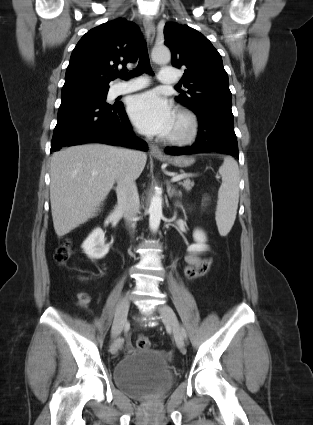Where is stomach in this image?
I'll list each match as a JSON object with an SVG mask.
<instances>
[{"instance_id": "stomach-1", "label": "stomach", "mask_w": 313, "mask_h": 425, "mask_svg": "<svg viewBox=\"0 0 313 425\" xmlns=\"http://www.w3.org/2000/svg\"><path fill=\"white\" fill-rule=\"evenodd\" d=\"M163 161H167L169 163H171L174 166L177 167H188L190 165H192L194 163V159L190 158V157H185V156H179V157H170V158H166V159H161Z\"/></svg>"}]
</instances>
